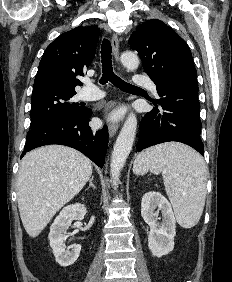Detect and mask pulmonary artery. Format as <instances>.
Returning a JSON list of instances; mask_svg holds the SVG:
<instances>
[{"instance_id": "e3ab8cb5", "label": "pulmonary artery", "mask_w": 232, "mask_h": 282, "mask_svg": "<svg viewBox=\"0 0 232 282\" xmlns=\"http://www.w3.org/2000/svg\"><path fill=\"white\" fill-rule=\"evenodd\" d=\"M134 84L146 86L151 92L157 94L156 85L146 76L136 75L133 79ZM80 97L83 100L95 101L103 97V93L91 82H87L82 90Z\"/></svg>"}]
</instances>
